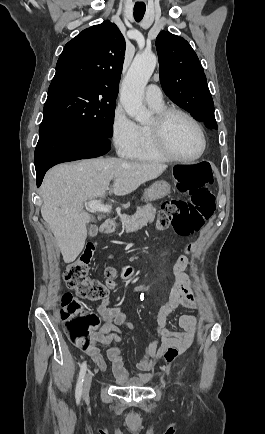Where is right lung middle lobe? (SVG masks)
Here are the masks:
<instances>
[{
  "mask_svg": "<svg viewBox=\"0 0 265 434\" xmlns=\"http://www.w3.org/2000/svg\"><path fill=\"white\" fill-rule=\"evenodd\" d=\"M118 89L88 78L52 80L41 125L52 124L74 134L110 138Z\"/></svg>",
  "mask_w": 265,
  "mask_h": 434,
  "instance_id": "1",
  "label": "right lung middle lobe"
}]
</instances>
